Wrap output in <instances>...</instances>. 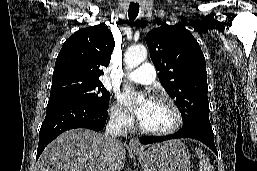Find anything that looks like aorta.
Segmentation results:
<instances>
[{
	"label": "aorta",
	"instance_id": "762f6f07",
	"mask_svg": "<svg viewBox=\"0 0 257 171\" xmlns=\"http://www.w3.org/2000/svg\"><path fill=\"white\" fill-rule=\"evenodd\" d=\"M147 57V49L143 45L130 47L125 53V64L128 69H133L141 64Z\"/></svg>",
	"mask_w": 257,
	"mask_h": 171
}]
</instances>
